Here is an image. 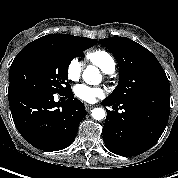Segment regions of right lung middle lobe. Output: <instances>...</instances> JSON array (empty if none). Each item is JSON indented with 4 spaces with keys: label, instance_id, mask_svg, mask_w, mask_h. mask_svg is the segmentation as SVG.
Returning a JSON list of instances; mask_svg holds the SVG:
<instances>
[{
    "label": "right lung middle lobe",
    "instance_id": "obj_1",
    "mask_svg": "<svg viewBox=\"0 0 178 178\" xmlns=\"http://www.w3.org/2000/svg\"><path fill=\"white\" fill-rule=\"evenodd\" d=\"M93 45L85 38L73 41L39 38L30 42L10 66L8 93L55 94L71 89L67 83L68 66L75 56Z\"/></svg>",
    "mask_w": 178,
    "mask_h": 178
}]
</instances>
